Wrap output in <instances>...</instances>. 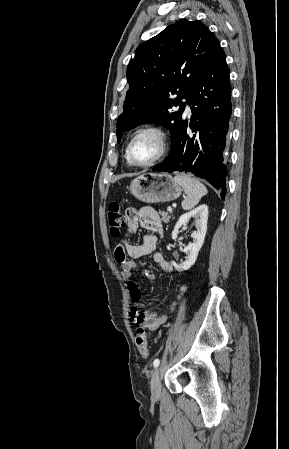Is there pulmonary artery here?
<instances>
[{
	"mask_svg": "<svg viewBox=\"0 0 289 449\" xmlns=\"http://www.w3.org/2000/svg\"><path fill=\"white\" fill-rule=\"evenodd\" d=\"M186 112L189 113L190 112V107L188 104H186V108H185Z\"/></svg>",
	"mask_w": 289,
	"mask_h": 449,
	"instance_id": "e3ab8cb5",
	"label": "pulmonary artery"
}]
</instances>
